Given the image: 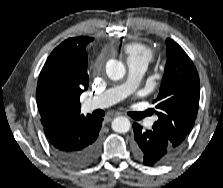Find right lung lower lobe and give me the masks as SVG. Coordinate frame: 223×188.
I'll use <instances>...</instances> for the list:
<instances>
[{
    "label": "right lung lower lobe",
    "mask_w": 223,
    "mask_h": 188,
    "mask_svg": "<svg viewBox=\"0 0 223 188\" xmlns=\"http://www.w3.org/2000/svg\"><path fill=\"white\" fill-rule=\"evenodd\" d=\"M102 121V118L87 116L44 127V132L57 158L68 166L80 168L92 164L98 157Z\"/></svg>",
    "instance_id": "right-lung-lower-lobe-1"
}]
</instances>
